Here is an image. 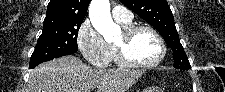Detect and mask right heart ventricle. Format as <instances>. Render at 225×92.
Masks as SVG:
<instances>
[{"mask_svg":"<svg viewBox=\"0 0 225 92\" xmlns=\"http://www.w3.org/2000/svg\"><path fill=\"white\" fill-rule=\"evenodd\" d=\"M119 23V22H118ZM124 29L131 25L130 23H119ZM111 49V60H113L116 64L121 65L118 59L117 51L114 44H110Z\"/></svg>","mask_w":225,"mask_h":92,"instance_id":"e07e8e85","label":"right heart ventricle"}]
</instances>
